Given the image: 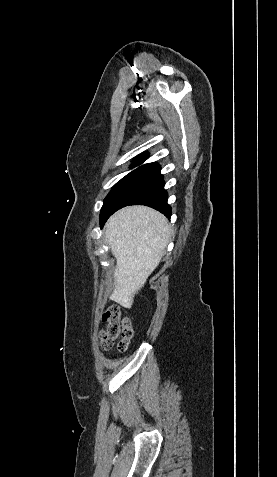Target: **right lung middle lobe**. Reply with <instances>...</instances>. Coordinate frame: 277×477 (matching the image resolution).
<instances>
[{"label":"right lung middle lobe","mask_w":277,"mask_h":477,"mask_svg":"<svg viewBox=\"0 0 277 477\" xmlns=\"http://www.w3.org/2000/svg\"><path fill=\"white\" fill-rule=\"evenodd\" d=\"M159 174L160 169L139 167L118 181L104 199L100 212L101 227L110 215L132 202Z\"/></svg>","instance_id":"right-lung-middle-lobe-1"}]
</instances>
